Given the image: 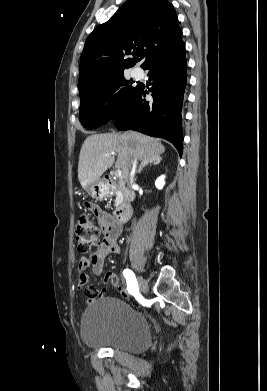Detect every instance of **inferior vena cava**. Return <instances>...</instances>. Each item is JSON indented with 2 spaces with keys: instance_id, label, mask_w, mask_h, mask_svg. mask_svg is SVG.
<instances>
[{
  "instance_id": "obj_1",
  "label": "inferior vena cava",
  "mask_w": 267,
  "mask_h": 391,
  "mask_svg": "<svg viewBox=\"0 0 267 391\" xmlns=\"http://www.w3.org/2000/svg\"><path fill=\"white\" fill-rule=\"evenodd\" d=\"M136 167H137V159L133 158L131 160V164H130L129 176L126 179V183L128 186H130V184H132V182H133V179H134V176L136 173Z\"/></svg>"
}]
</instances>
